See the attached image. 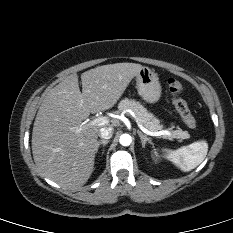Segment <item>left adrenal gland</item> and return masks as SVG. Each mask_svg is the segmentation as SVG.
I'll return each mask as SVG.
<instances>
[{"label":"left adrenal gland","instance_id":"obj_1","mask_svg":"<svg viewBox=\"0 0 233 233\" xmlns=\"http://www.w3.org/2000/svg\"><path fill=\"white\" fill-rule=\"evenodd\" d=\"M137 133H138V135H139V137L141 139L143 148H145V145H146L147 142L152 144L150 138H148L146 135H144L141 131L138 130Z\"/></svg>","mask_w":233,"mask_h":233}]
</instances>
